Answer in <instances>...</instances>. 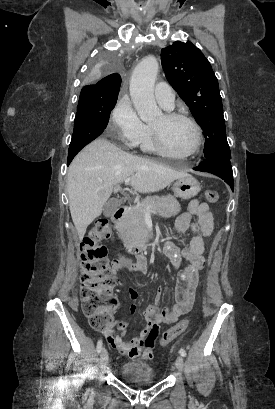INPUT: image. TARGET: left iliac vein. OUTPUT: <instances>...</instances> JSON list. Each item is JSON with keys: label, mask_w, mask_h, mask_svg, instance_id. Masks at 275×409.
<instances>
[{"label": "left iliac vein", "mask_w": 275, "mask_h": 409, "mask_svg": "<svg viewBox=\"0 0 275 409\" xmlns=\"http://www.w3.org/2000/svg\"><path fill=\"white\" fill-rule=\"evenodd\" d=\"M175 365H176L178 372H182L183 367H184V359L182 356L177 357Z\"/></svg>", "instance_id": "4c4485c4"}]
</instances>
